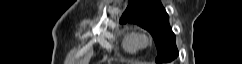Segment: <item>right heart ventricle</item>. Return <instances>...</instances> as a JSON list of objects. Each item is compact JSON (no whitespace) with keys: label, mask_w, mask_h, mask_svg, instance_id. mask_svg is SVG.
Listing matches in <instances>:
<instances>
[{"label":"right heart ventricle","mask_w":242,"mask_h":64,"mask_svg":"<svg viewBox=\"0 0 242 64\" xmlns=\"http://www.w3.org/2000/svg\"><path fill=\"white\" fill-rule=\"evenodd\" d=\"M136 34L132 31H126L122 36V47L129 53H135L138 50V45L135 39Z\"/></svg>","instance_id":"right-heart-ventricle-1"}]
</instances>
